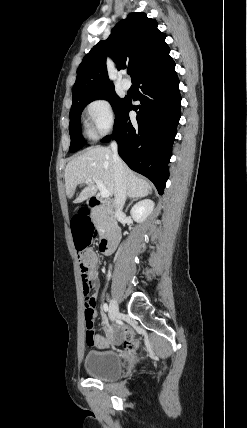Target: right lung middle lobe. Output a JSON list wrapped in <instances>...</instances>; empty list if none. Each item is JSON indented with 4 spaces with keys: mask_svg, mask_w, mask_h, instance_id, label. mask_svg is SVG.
Returning <instances> with one entry per match:
<instances>
[{
    "mask_svg": "<svg viewBox=\"0 0 247 428\" xmlns=\"http://www.w3.org/2000/svg\"><path fill=\"white\" fill-rule=\"evenodd\" d=\"M96 99H106L110 102L115 112V117L120 111L121 107L126 101V98H120L114 89H109L101 92H96L87 96H84L72 103V107L70 110V124H69V133L71 137V144L69 151L76 152L81 149L84 145V140L81 135L80 129V116L82 110L88 105L90 102Z\"/></svg>",
    "mask_w": 247,
    "mask_h": 428,
    "instance_id": "1",
    "label": "right lung middle lobe"
}]
</instances>
